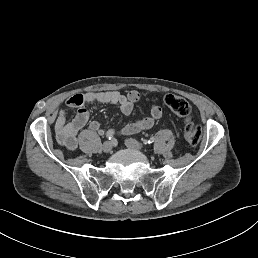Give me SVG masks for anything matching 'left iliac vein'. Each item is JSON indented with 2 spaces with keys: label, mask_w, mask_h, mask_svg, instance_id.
Masks as SVG:
<instances>
[{
  "label": "left iliac vein",
  "mask_w": 258,
  "mask_h": 258,
  "mask_svg": "<svg viewBox=\"0 0 258 258\" xmlns=\"http://www.w3.org/2000/svg\"><path fill=\"white\" fill-rule=\"evenodd\" d=\"M124 143H125L126 146H128L129 149H131V150H132V149H135V150L138 151V152L141 151L142 148H143L142 145H141L140 143H138L137 140L134 139V138H133V139L130 138V139L127 140V141L125 140Z\"/></svg>",
  "instance_id": "4c4485c4"
}]
</instances>
